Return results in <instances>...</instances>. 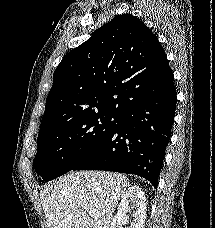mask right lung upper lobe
Returning <instances> with one entry per match:
<instances>
[{
  "instance_id": "1",
  "label": "right lung upper lobe",
  "mask_w": 215,
  "mask_h": 228,
  "mask_svg": "<svg viewBox=\"0 0 215 228\" xmlns=\"http://www.w3.org/2000/svg\"><path fill=\"white\" fill-rule=\"evenodd\" d=\"M156 35L135 16H116L64 56L53 75L40 129L120 113L172 77Z\"/></svg>"
}]
</instances>
